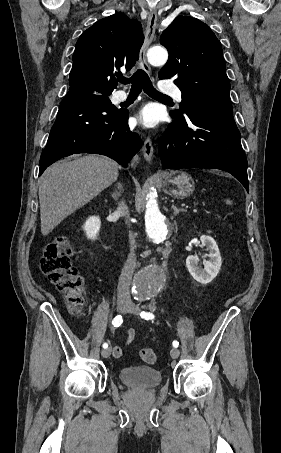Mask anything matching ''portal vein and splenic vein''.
<instances>
[{"mask_svg": "<svg viewBox=\"0 0 281 453\" xmlns=\"http://www.w3.org/2000/svg\"><path fill=\"white\" fill-rule=\"evenodd\" d=\"M181 207L183 208L184 206L182 205ZM185 208H188V205H185ZM195 210H196V209H194L193 212H194V213H195V212L197 213L198 211H197V210L195 211ZM204 212H205V213H208V215H212V214H213V213L210 212L209 210H205Z\"/></svg>", "mask_w": 281, "mask_h": 453, "instance_id": "obj_1", "label": "portal vein and splenic vein"}]
</instances>
